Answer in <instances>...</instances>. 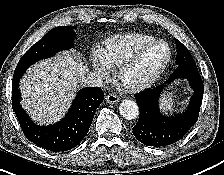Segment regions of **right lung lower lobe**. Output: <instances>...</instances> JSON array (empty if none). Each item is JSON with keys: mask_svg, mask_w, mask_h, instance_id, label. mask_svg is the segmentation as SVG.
<instances>
[{"mask_svg": "<svg viewBox=\"0 0 224 175\" xmlns=\"http://www.w3.org/2000/svg\"><path fill=\"white\" fill-rule=\"evenodd\" d=\"M32 64L17 65L12 80V107L24 135L36 145L53 152L68 151L76 147L86 136L104 93L99 87L79 90L71 108L58 123L49 126L36 125L20 105L19 81Z\"/></svg>", "mask_w": 224, "mask_h": 175, "instance_id": "98d812e1", "label": "right lung lower lobe"}]
</instances>
